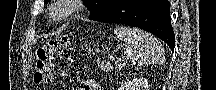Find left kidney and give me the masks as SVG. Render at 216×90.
<instances>
[{"instance_id":"5707ae66","label":"left kidney","mask_w":216,"mask_h":90,"mask_svg":"<svg viewBox=\"0 0 216 90\" xmlns=\"http://www.w3.org/2000/svg\"><path fill=\"white\" fill-rule=\"evenodd\" d=\"M149 82L145 78H134L130 82H124L120 90H149Z\"/></svg>"}]
</instances>
